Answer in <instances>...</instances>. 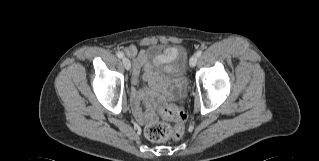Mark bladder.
I'll return each mask as SVG.
<instances>
[{"label": "bladder", "mask_w": 319, "mask_h": 161, "mask_svg": "<svg viewBox=\"0 0 319 161\" xmlns=\"http://www.w3.org/2000/svg\"><path fill=\"white\" fill-rule=\"evenodd\" d=\"M145 61L155 73L163 74L167 79L181 78L186 73L189 53L186 47L179 45H150L144 51ZM167 54L170 60L167 63H157L159 56Z\"/></svg>", "instance_id": "31cf9c89"}]
</instances>
